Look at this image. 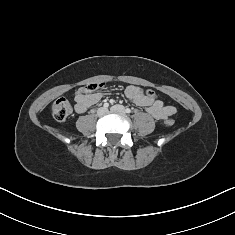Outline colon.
I'll list each match as a JSON object with an SVG mask.
<instances>
[{
  "label": "colon",
  "mask_w": 235,
  "mask_h": 235,
  "mask_svg": "<svg viewBox=\"0 0 235 235\" xmlns=\"http://www.w3.org/2000/svg\"><path fill=\"white\" fill-rule=\"evenodd\" d=\"M105 86V83H91L85 86L81 92H94ZM145 95L149 98L156 99V94L152 90H146ZM72 108L69 101L65 98L57 99L52 105V115L57 121L66 120L71 114ZM174 123L173 119H167L166 125L172 126Z\"/></svg>",
  "instance_id": "1"
}]
</instances>
